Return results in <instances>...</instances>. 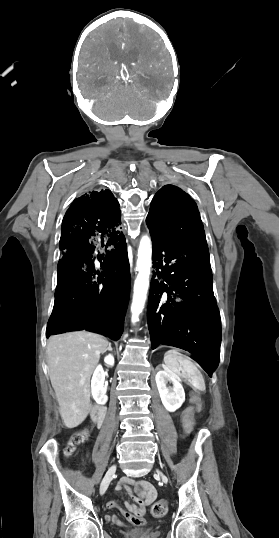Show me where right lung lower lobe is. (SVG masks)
Segmentation results:
<instances>
[{"label":"right lung lower lobe","instance_id":"98d812e1","mask_svg":"<svg viewBox=\"0 0 279 538\" xmlns=\"http://www.w3.org/2000/svg\"><path fill=\"white\" fill-rule=\"evenodd\" d=\"M57 287L46 336L96 330L123 332L130 272L119 203L110 190L76 198L61 226Z\"/></svg>","mask_w":279,"mask_h":538}]
</instances>
